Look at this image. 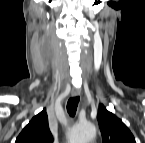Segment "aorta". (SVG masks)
Masks as SVG:
<instances>
[{"instance_id": "762f6f07", "label": "aorta", "mask_w": 145, "mask_h": 143, "mask_svg": "<svg viewBox=\"0 0 145 143\" xmlns=\"http://www.w3.org/2000/svg\"><path fill=\"white\" fill-rule=\"evenodd\" d=\"M96 135V127L90 123H83L74 126L69 132L70 143H88Z\"/></svg>"}]
</instances>
